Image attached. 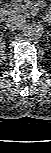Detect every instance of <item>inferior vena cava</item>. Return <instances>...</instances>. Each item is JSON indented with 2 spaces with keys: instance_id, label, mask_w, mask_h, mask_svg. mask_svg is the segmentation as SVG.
<instances>
[{
  "instance_id": "1",
  "label": "inferior vena cava",
  "mask_w": 51,
  "mask_h": 153,
  "mask_svg": "<svg viewBox=\"0 0 51 153\" xmlns=\"http://www.w3.org/2000/svg\"><path fill=\"white\" fill-rule=\"evenodd\" d=\"M6 23L9 27L21 28L26 23V20L22 16L14 15V16L9 17L6 21Z\"/></svg>"
}]
</instances>
